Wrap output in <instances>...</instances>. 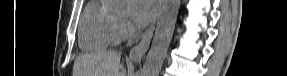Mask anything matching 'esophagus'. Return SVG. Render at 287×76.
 Returning <instances> with one entry per match:
<instances>
[{
  "label": "esophagus",
  "mask_w": 287,
  "mask_h": 76,
  "mask_svg": "<svg viewBox=\"0 0 287 76\" xmlns=\"http://www.w3.org/2000/svg\"><path fill=\"white\" fill-rule=\"evenodd\" d=\"M155 23H156V20L153 22L151 27L144 33L141 41L135 47L131 49L129 53V57L132 61H141L143 57L145 56L149 48L152 36H153V32L155 29Z\"/></svg>",
  "instance_id": "obj_1"
}]
</instances>
